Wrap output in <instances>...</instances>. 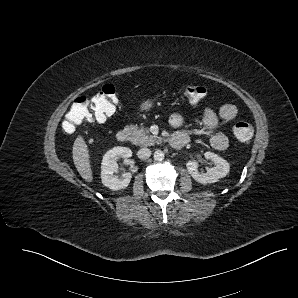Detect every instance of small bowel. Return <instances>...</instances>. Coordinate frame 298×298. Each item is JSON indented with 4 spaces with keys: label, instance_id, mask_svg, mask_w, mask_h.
I'll list each match as a JSON object with an SVG mask.
<instances>
[{
    "label": "small bowel",
    "instance_id": "c3829d8e",
    "mask_svg": "<svg viewBox=\"0 0 298 298\" xmlns=\"http://www.w3.org/2000/svg\"><path fill=\"white\" fill-rule=\"evenodd\" d=\"M237 116V108L232 104L222 105L218 111L211 108L203 110V125L210 135L211 146L219 151L226 150L229 146L228 137L222 133L215 131L221 121L229 122ZM169 124L174 128H179L183 124V117L179 113H173L169 117Z\"/></svg>",
    "mask_w": 298,
    "mask_h": 298
}]
</instances>
